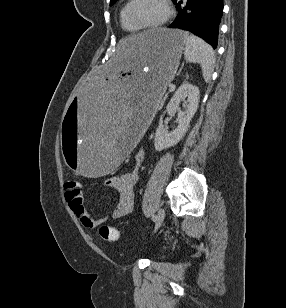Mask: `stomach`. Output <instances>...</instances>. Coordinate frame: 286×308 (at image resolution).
Masks as SVG:
<instances>
[{"mask_svg": "<svg viewBox=\"0 0 286 308\" xmlns=\"http://www.w3.org/2000/svg\"><path fill=\"white\" fill-rule=\"evenodd\" d=\"M187 34L156 29L123 36L106 65L93 69L84 91L63 112L61 153L77 177H111L136 149L154 108L174 79Z\"/></svg>", "mask_w": 286, "mask_h": 308, "instance_id": "1", "label": "stomach"}]
</instances>
